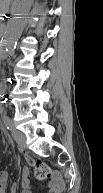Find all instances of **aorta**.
<instances>
[{
  "label": "aorta",
  "mask_w": 103,
  "mask_h": 193,
  "mask_svg": "<svg viewBox=\"0 0 103 193\" xmlns=\"http://www.w3.org/2000/svg\"><path fill=\"white\" fill-rule=\"evenodd\" d=\"M32 2L33 0H15L11 17L8 20L3 35V44L8 54L14 51L16 43L23 31Z\"/></svg>",
  "instance_id": "aorta-1"
}]
</instances>
